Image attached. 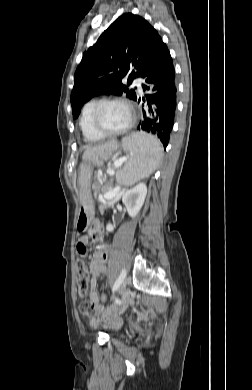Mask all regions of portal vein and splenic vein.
Wrapping results in <instances>:
<instances>
[{"label": "portal vein and splenic vein", "mask_w": 252, "mask_h": 390, "mask_svg": "<svg viewBox=\"0 0 252 390\" xmlns=\"http://www.w3.org/2000/svg\"><path fill=\"white\" fill-rule=\"evenodd\" d=\"M127 160L126 157H123V158H119L118 160H115L114 161V167H119L121 166L125 161ZM109 174H113L114 173V170H109L108 171ZM119 191V188L115 189L113 192H109L105 195V198L106 199H111L113 198Z\"/></svg>", "instance_id": "18ae733b"}]
</instances>
